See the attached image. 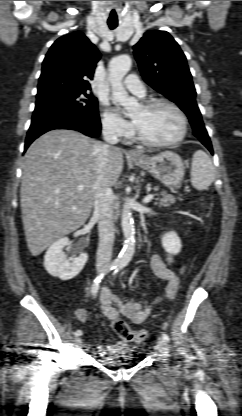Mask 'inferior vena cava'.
Here are the masks:
<instances>
[{
  "label": "inferior vena cava",
  "mask_w": 242,
  "mask_h": 416,
  "mask_svg": "<svg viewBox=\"0 0 242 416\" xmlns=\"http://www.w3.org/2000/svg\"><path fill=\"white\" fill-rule=\"evenodd\" d=\"M102 134L105 143L100 144L98 176L94 197V215L98 219L99 230L96 268L99 271L106 270L110 263L115 238L114 194L105 173L109 163L110 152L117 149L114 145L119 141L116 129L110 122H103Z\"/></svg>",
  "instance_id": "1"
}]
</instances>
